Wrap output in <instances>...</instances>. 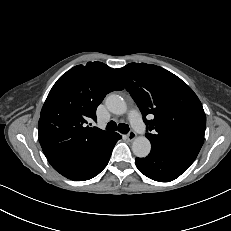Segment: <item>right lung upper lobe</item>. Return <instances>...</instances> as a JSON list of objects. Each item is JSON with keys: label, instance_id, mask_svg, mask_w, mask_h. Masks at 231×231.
Masks as SVG:
<instances>
[{"label": "right lung upper lobe", "instance_id": "1", "mask_svg": "<svg viewBox=\"0 0 231 231\" xmlns=\"http://www.w3.org/2000/svg\"><path fill=\"white\" fill-rule=\"evenodd\" d=\"M122 89L117 69L101 62L77 65L57 80L38 123L40 145L55 170L89 157L114 133L87 124L96 121L104 97Z\"/></svg>", "mask_w": 231, "mask_h": 231}]
</instances>
